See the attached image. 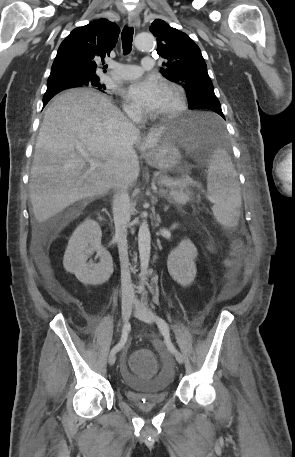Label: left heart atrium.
Returning a JSON list of instances; mask_svg holds the SVG:
<instances>
[{
    "label": "left heart atrium",
    "instance_id": "1",
    "mask_svg": "<svg viewBox=\"0 0 295 457\" xmlns=\"http://www.w3.org/2000/svg\"><path fill=\"white\" fill-rule=\"evenodd\" d=\"M162 92L163 85L153 78H147L130 84L126 90V97L135 105L153 112L159 105Z\"/></svg>",
    "mask_w": 295,
    "mask_h": 457
}]
</instances>
